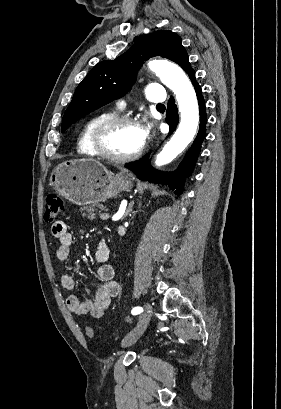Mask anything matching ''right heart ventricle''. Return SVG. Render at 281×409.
Returning a JSON list of instances; mask_svg holds the SVG:
<instances>
[{"mask_svg": "<svg viewBox=\"0 0 281 409\" xmlns=\"http://www.w3.org/2000/svg\"><path fill=\"white\" fill-rule=\"evenodd\" d=\"M111 116H113V113L105 111L97 113L87 120L78 141V150L81 154L100 157L95 147V132L98 125Z\"/></svg>", "mask_w": 281, "mask_h": 409, "instance_id": "1", "label": "right heart ventricle"}]
</instances>
